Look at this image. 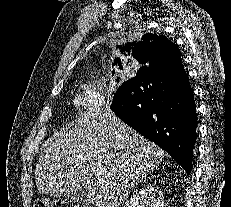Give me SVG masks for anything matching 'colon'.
Wrapping results in <instances>:
<instances>
[{"label": "colon", "instance_id": "colon-1", "mask_svg": "<svg viewBox=\"0 0 231 207\" xmlns=\"http://www.w3.org/2000/svg\"><path fill=\"white\" fill-rule=\"evenodd\" d=\"M33 207H79V205L64 198H58L55 200H37Z\"/></svg>", "mask_w": 231, "mask_h": 207}]
</instances>
